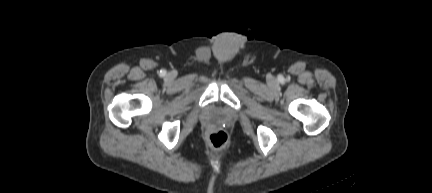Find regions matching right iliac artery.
<instances>
[{
	"label": "right iliac artery",
	"instance_id": "obj_1",
	"mask_svg": "<svg viewBox=\"0 0 432 193\" xmlns=\"http://www.w3.org/2000/svg\"><path fill=\"white\" fill-rule=\"evenodd\" d=\"M166 74V71L165 70H161L160 71V76H164Z\"/></svg>",
	"mask_w": 432,
	"mask_h": 193
}]
</instances>
